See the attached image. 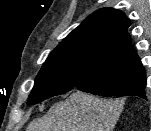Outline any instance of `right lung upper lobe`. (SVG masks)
<instances>
[{"label":"right lung upper lobe","instance_id":"obj_1","mask_svg":"<svg viewBox=\"0 0 151 131\" xmlns=\"http://www.w3.org/2000/svg\"><path fill=\"white\" fill-rule=\"evenodd\" d=\"M130 21L119 10L103 8L87 17L61 43L94 58L99 79L116 94L146 83L145 71L131 47Z\"/></svg>","mask_w":151,"mask_h":131}]
</instances>
